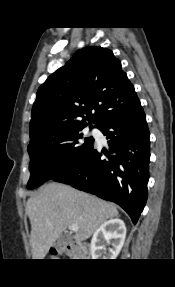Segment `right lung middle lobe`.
I'll list each match as a JSON object with an SVG mask.
<instances>
[{
  "label": "right lung middle lobe",
  "mask_w": 175,
  "mask_h": 287,
  "mask_svg": "<svg viewBox=\"0 0 175 287\" xmlns=\"http://www.w3.org/2000/svg\"><path fill=\"white\" fill-rule=\"evenodd\" d=\"M85 127L71 128L29 144L31 176L28 189L66 174L90 154L94 148V139L83 132Z\"/></svg>",
  "instance_id": "dd1d6c3e"
}]
</instances>
